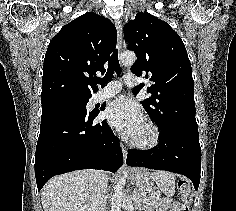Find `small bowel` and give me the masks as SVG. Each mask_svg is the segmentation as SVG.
<instances>
[{"mask_svg": "<svg viewBox=\"0 0 236 211\" xmlns=\"http://www.w3.org/2000/svg\"><path fill=\"white\" fill-rule=\"evenodd\" d=\"M179 207L170 204L168 201L159 200L155 208L147 211H178Z\"/></svg>", "mask_w": 236, "mask_h": 211, "instance_id": "c3829d8e", "label": "small bowel"}]
</instances>
